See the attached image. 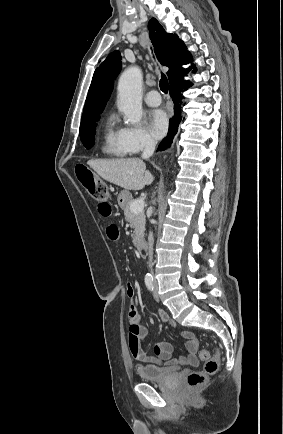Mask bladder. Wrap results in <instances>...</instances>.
<instances>
[{"label": "bladder", "instance_id": "1", "mask_svg": "<svg viewBox=\"0 0 283 434\" xmlns=\"http://www.w3.org/2000/svg\"><path fill=\"white\" fill-rule=\"evenodd\" d=\"M178 373L176 367H159L155 365L144 366L139 375L143 381L147 382H161L167 380Z\"/></svg>", "mask_w": 283, "mask_h": 434}]
</instances>
